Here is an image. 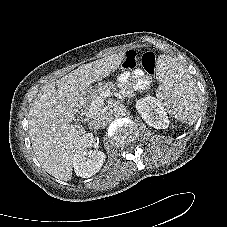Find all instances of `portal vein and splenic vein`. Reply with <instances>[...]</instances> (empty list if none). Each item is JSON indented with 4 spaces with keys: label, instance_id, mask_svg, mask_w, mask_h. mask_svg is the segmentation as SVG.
Returning a JSON list of instances; mask_svg holds the SVG:
<instances>
[{
    "label": "portal vein and splenic vein",
    "instance_id": "18ae733b",
    "mask_svg": "<svg viewBox=\"0 0 227 227\" xmlns=\"http://www.w3.org/2000/svg\"><path fill=\"white\" fill-rule=\"evenodd\" d=\"M110 91H105L103 92L100 96H98L95 100V102L92 103L90 109H89V112L90 113H93L98 107L102 106L103 105V100L110 96Z\"/></svg>",
    "mask_w": 227,
    "mask_h": 227
}]
</instances>
